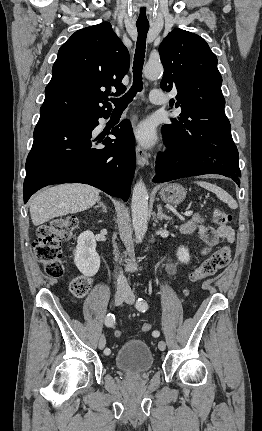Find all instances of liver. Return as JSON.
Wrapping results in <instances>:
<instances>
[{"instance_id":"obj_1","label":"liver","mask_w":262,"mask_h":431,"mask_svg":"<svg viewBox=\"0 0 262 431\" xmlns=\"http://www.w3.org/2000/svg\"><path fill=\"white\" fill-rule=\"evenodd\" d=\"M99 201V190L85 184H63L43 190L30 200L35 226L52 218L85 211Z\"/></svg>"}]
</instances>
